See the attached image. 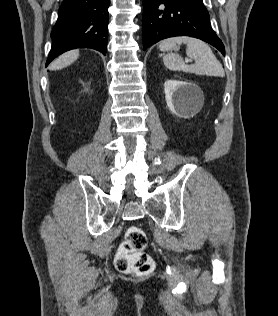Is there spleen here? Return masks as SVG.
Listing matches in <instances>:
<instances>
[{"label":"spleen","mask_w":278,"mask_h":316,"mask_svg":"<svg viewBox=\"0 0 278 316\" xmlns=\"http://www.w3.org/2000/svg\"><path fill=\"white\" fill-rule=\"evenodd\" d=\"M182 43L187 45L186 54L195 60V64L186 65L179 55L168 54L163 57V62L168 69L199 75L225 76L222 64L217 60L211 48L201 40L187 36L172 37L163 40L159 48L161 51H167L175 47L176 44Z\"/></svg>","instance_id":"obj_1"}]
</instances>
